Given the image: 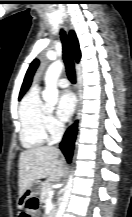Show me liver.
I'll return each instance as SVG.
<instances>
[{"label": "liver", "mask_w": 132, "mask_h": 217, "mask_svg": "<svg viewBox=\"0 0 132 217\" xmlns=\"http://www.w3.org/2000/svg\"><path fill=\"white\" fill-rule=\"evenodd\" d=\"M60 151L56 147H33L21 152L19 156V196H23L27 188L39 179L47 178L58 182L65 174L64 160L59 158Z\"/></svg>", "instance_id": "liver-1"}]
</instances>
